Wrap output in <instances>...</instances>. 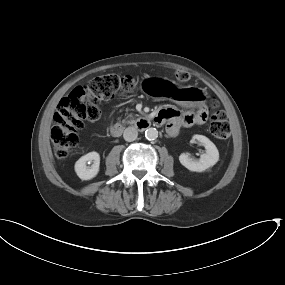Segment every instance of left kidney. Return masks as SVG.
Segmentation results:
<instances>
[{"instance_id":"5707ae66","label":"left kidney","mask_w":285,"mask_h":285,"mask_svg":"<svg viewBox=\"0 0 285 285\" xmlns=\"http://www.w3.org/2000/svg\"><path fill=\"white\" fill-rule=\"evenodd\" d=\"M195 140L200 142L205 147V153L200 156L199 160L192 159L188 153H182L179 156V161L190 171L203 172L218 162L219 152L215 144L206 136L194 135L192 141Z\"/></svg>"}]
</instances>
